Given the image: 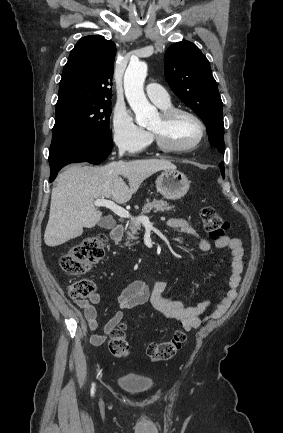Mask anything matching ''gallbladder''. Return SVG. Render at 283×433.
I'll return each mask as SVG.
<instances>
[{
    "mask_svg": "<svg viewBox=\"0 0 283 433\" xmlns=\"http://www.w3.org/2000/svg\"><path fill=\"white\" fill-rule=\"evenodd\" d=\"M98 227H102V229H114V227H116V221L111 219V217H103V219L99 221Z\"/></svg>",
    "mask_w": 283,
    "mask_h": 433,
    "instance_id": "gallbladder-1",
    "label": "gallbladder"
}]
</instances>
